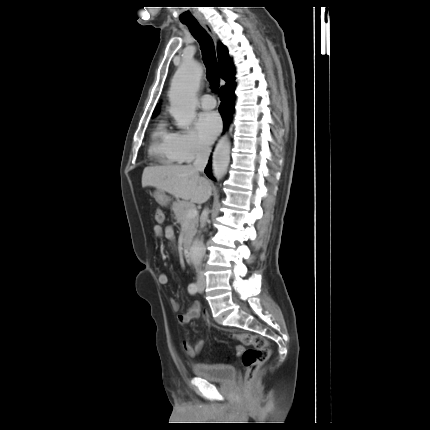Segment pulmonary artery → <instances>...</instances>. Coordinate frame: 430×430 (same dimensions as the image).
Wrapping results in <instances>:
<instances>
[{"instance_id":"pulmonary-artery-1","label":"pulmonary artery","mask_w":430,"mask_h":430,"mask_svg":"<svg viewBox=\"0 0 430 430\" xmlns=\"http://www.w3.org/2000/svg\"><path fill=\"white\" fill-rule=\"evenodd\" d=\"M200 105L203 109L209 110L216 106V100L210 94H205L201 97Z\"/></svg>"}]
</instances>
